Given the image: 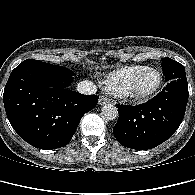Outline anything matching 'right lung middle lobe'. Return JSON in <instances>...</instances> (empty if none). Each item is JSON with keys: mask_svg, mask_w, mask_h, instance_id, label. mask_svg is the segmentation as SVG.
Here are the masks:
<instances>
[{"mask_svg": "<svg viewBox=\"0 0 195 195\" xmlns=\"http://www.w3.org/2000/svg\"><path fill=\"white\" fill-rule=\"evenodd\" d=\"M20 65H32L44 70L55 79L57 87H68L74 79V72L72 70L62 66L45 63L40 60L26 59Z\"/></svg>", "mask_w": 195, "mask_h": 195, "instance_id": "obj_1", "label": "right lung middle lobe"}]
</instances>
